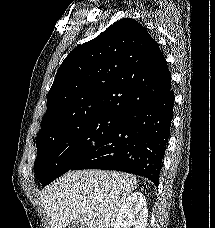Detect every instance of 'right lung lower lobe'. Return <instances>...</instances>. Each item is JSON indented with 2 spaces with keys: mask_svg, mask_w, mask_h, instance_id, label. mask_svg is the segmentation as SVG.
<instances>
[{
  "mask_svg": "<svg viewBox=\"0 0 215 228\" xmlns=\"http://www.w3.org/2000/svg\"><path fill=\"white\" fill-rule=\"evenodd\" d=\"M169 89L125 113L120 122L70 170L123 171L151 180L156 186L170 136L174 93Z\"/></svg>",
  "mask_w": 215,
  "mask_h": 228,
  "instance_id": "right-lung-lower-lobe-1",
  "label": "right lung lower lobe"
}]
</instances>
